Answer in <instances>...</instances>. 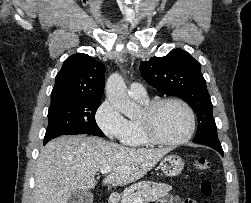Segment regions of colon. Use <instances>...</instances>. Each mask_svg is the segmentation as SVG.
Returning a JSON list of instances; mask_svg holds the SVG:
<instances>
[{
  "label": "colon",
  "mask_w": 251,
  "mask_h": 203,
  "mask_svg": "<svg viewBox=\"0 0 251 203\" xmlns=\"http://www.w3.org/2000/svg\"><path fill=\"white\" fill-rule=\"evenodd\" d=\"M196 169L199 171H207L211 167L210 161L205 157H198L195 161ZM203 195L209 197L213 193V185L209 180H203L200 186Z\"/></svg>",
  "instance_id": "colon-1"
}]
</instances>
